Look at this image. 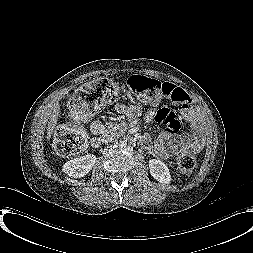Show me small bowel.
<instances>
[{"mask_svg": "<svg viewBox=\"0 0 253 253\" xmlns=\"http://www.w3.org/2000/svg\"><path fill=\"white\" fill-rule=\"evenodd\" d=\"M175 99V104L182 105L181 115L192 123L193 133L192 136H179V124L175 120L174 113L168 109H160L156 113L153 111L147 112L145 115L147 121L156 118L159 122L167 124V127L159 136L152 137L145 134L142 137L143 142L147 145L148 152L160 159H167L183 151L198 152L202 147L203 131L200 126L199 114L192 99L185 90L177 87ZM115 110L117 113L131 118H137L140 114V110L136 106H126L124 104H117ZM89 129L94 135L91 143L97 146L107 141L117 131V126H107L102 121L94 120L89 124Z\"/></svg>", "mask_w": 253, "mask_h": 253, "instance_id": "1", "label": "small bowel"}]
</instances>
